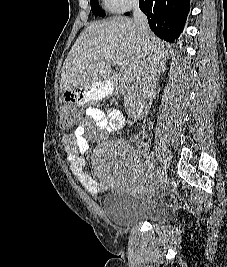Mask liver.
Instances as JSON below:
<instances>
[{"label":"liver","instance_id":"6515ba94","mask_svg":"<svg viewBox=\"0 0 227 267\" xmlns=\"http://www.w3.org/2000/svg\"><path fill=\"white\" fill-rule=\"evenodd\" d=\"M149 43L157 62L164 63L168 57L165 43L153 33ZM148 53L132 19L115 16L109 21L93 22L82 31L64 61L60 91L110 80L111 65L117 59L139 81Z\"/></svg>","mask_w":227,"mask_h":267}]
</instances>
